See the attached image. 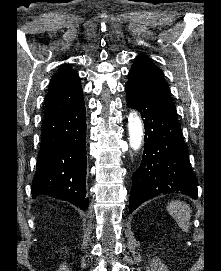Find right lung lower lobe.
Masks as SVG:
<instances>
[{"mask_svg": "<svg viewBox=\"0 0 221 271\" xmlns=\"http://www.w3.org/2000/svg\"><path fill=\"white\" fill-rule=\"evenodd\" d=\"M49 195L82 209L86 196V112L77 107L44 117L32 198Z\"/></svg>", "mask_w": 221, "mask_h": 271, "instance_id": "98d812e1", "label": "right lung lower lobe"}]
</instances>
